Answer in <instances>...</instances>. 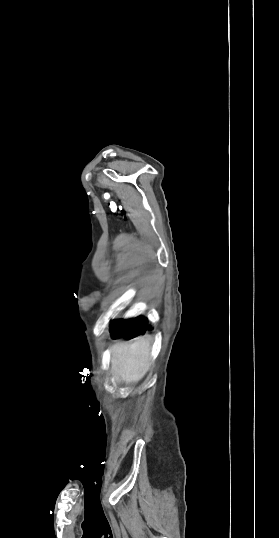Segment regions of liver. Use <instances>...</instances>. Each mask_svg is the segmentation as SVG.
I'll list each match as a JSON object with an SVG mask.
<instances>
[{"label": "liver", "mask_w": 279, "mask_h": 538, "mask_svg": "<svg viewBox=\"0 0 279 538\" xmlns=\"http://www.w3.org/2000/svg\"><path fill=\"white\" fill-rule=\"evenodd\" d=\"M150 342L135 338L133 344H115L112 350L111 374L119 376L126 384H135L149 370Z\"/></svg>", "instance_id": "obj_1"}]
</instances>
